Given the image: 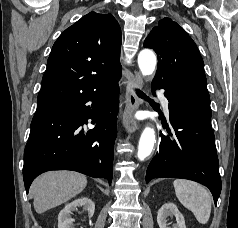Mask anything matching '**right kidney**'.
Segmentation results:
<instances>
[{
  "mask_svg": "<svg viewBox=\"0 0 238 228\" xmlns=\"http://www.w3.org/2000/svg\"><path fill=\"white\" fill-rule=\"evenodd\" d=\"M78 207H81L83 211H86L89 218L93 216L95 211L94 202L87 197L76 199L73 202L68 203L64 209L60 211L58 215V228H75V220L71 217V214L72 211L77 210Z\"/></svg>",
  "mask_w": 238,
  "mask_h": 228,
  "instance_id": "1",
  "label": "right kidney"
}]
</instances>
